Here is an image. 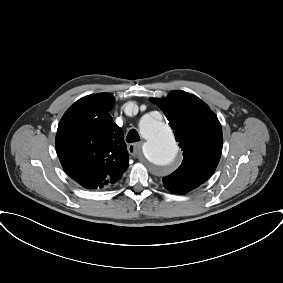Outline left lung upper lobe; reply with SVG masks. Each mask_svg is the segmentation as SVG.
Segmentation results:
<instances>
[{
    "label": "left lung upper lobe",
    "mask_w": 283,
    "mask_h": 283,
    "mask_svg": "<svg viewBox=\"0 0 283 283\" xmlns=\"http://www.w3.org/2000/svg\"><path fill=\"white\" fill-rule=\"evenodd\" d=\"M152 100L165 113L183 150L182 164L163 178L164 186L175 193L189 192L207 181L218 165L223 145L220 122L208 105L184 91Z\"/></svg>",
    "instance_id": "5c2ea615"
}]
</instances>
